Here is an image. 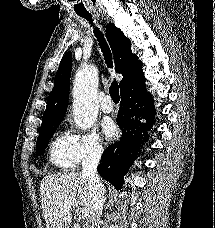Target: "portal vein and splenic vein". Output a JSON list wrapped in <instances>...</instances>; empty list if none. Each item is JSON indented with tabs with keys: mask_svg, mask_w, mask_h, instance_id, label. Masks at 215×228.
<instances>
[{
	"mask_svg": "<svg viewBox=\"0 0 215 228\" xmlns=\"http://www.w3.org/2000/svg\"><path fill=\"white\" fill-rule=\"evenodd\" d=\"M65 204H66V206H68V208H77V210L79 212V216H81L82 220H83V218H88V214H87L86 210H82V208H80L79 204H77V202H75V200H73V198H69V200H66Z\"/></svg>",
	"mask_w": 215,
	"mask_h": 228,
	"instance_id": "1",
	"label": "portal vein and splenic vein"
}]
</instances>
